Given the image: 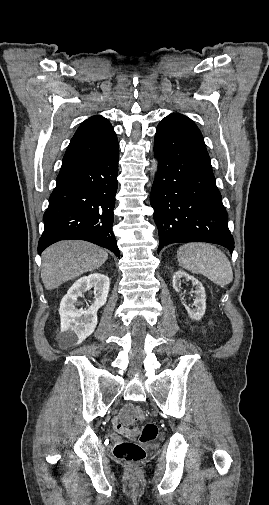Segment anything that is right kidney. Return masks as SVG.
<instances>
[{"label":"right kidney","mask_w":269,"mask_h":505,"mask_svg":"<svg viewBox=\"0 0 269 505\" xmlns=\"http://www.w3.org/2000/svg\"><path fill=\"white\" fill-rule=\"evenodd\" d=\"M109 278L100 273H93L78 279L68 290L60 303V337L64 343L79 344L90 336L97 325V311L107 300ZM94 289V301L87 309L78 308L79 298Z\"/></svg>","instance_id":"1"}]
</instances>
